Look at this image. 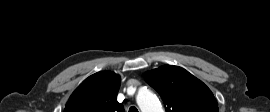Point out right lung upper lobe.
<instances>
[{"label": "right lung upper lobe", "mask_w": 270, "mask_h": 112, "mask_svg": "<svg viewBox=\"0 0 270 112\" xmlns=\"http://www.w3.org/2000/svg\"><path fill=\"white\" fill-rule=\"evenodd\" d=\"M121 78L101 71L85 79L70 96L64 112H124L117 101Z\"/></svg>", "instance_id": "1"}]
</instances>
